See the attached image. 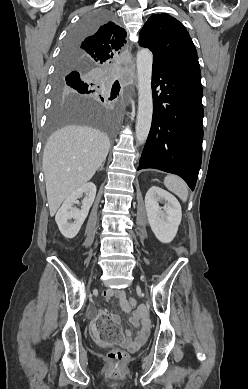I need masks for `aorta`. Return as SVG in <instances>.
<instances>
[{"label":"aorta","instance_id":"aorta-1","mask_svg":"<svg viewBox=\"0 0 248 389\" xmlns=\"http://www.w3.org/2000/svg\"><path fill=\"white\" fill-rule=\"evenodd\" d=\"M152 64V52L146 48L141 49L137 53L138 113L135 128L136 139L139 144H143L146 141L152 122Z\"/></svg>","mask_w":248,"mask_h":389}]
</instances>
